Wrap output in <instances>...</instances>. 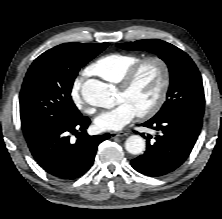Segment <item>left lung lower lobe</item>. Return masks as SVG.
Listing matches in <instances>:
<instances>
[{"label":"left lung lower lobe","instance_id":"1","mask_svg":"<svg viewBox=\"0 0 222 219\" xmlns=\"http://www.w3.org/2000/svg\"><path fill=\"white\" fill-rule=\"evenodd\" d=\"M141 126L157 131L155 143L145 137L147 149L131 161L132 167L147 176L165 175L184 163L194 147L202 127V118L183 112H171L151 118ZM144 136V134H141Z\"/></svg>","mask_w":222,"mask_h":219}]
</instances>
